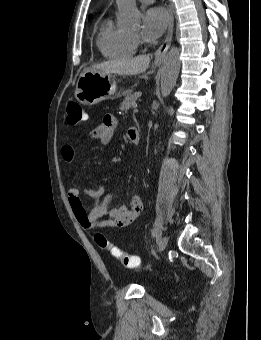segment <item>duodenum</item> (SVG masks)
I'll return each instance as SVG.
<instances>
[{"label": "duodenum", "instance_id": "410a0bca", "mask_svg": "<svg viewBox=\"0 0 261 340\" xmlns=\"http://www.w3.org/2000/svg\"><path fill=\"white\" fill-rule=\"evenodd\" d=\"M129 133H130V139H131L132 143L138 144L139 140H140L138 129L135 128V127H131L129 129Z\"/></svg>", "mask_w": 261, "mask_h": 340}]
</instances>
